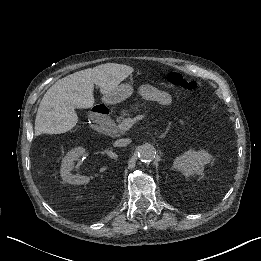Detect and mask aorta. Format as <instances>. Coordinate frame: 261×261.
Segmentation results:
<instances>
[{
    "instance_id": "obj_1",
    "label": "aorta",
    "mask_w": 261,
    "mask_h": 261,
    "mask_svg": "<svg viewBox=\"0 0 261 261\" xmlns=\"http://www.w3.org/2000/svg\"><path fill=\"white\" fill-rule=\"evenodd\" d=\"M138 157L142 162H151L154 160L156 150L150 143H145L137 148Z\"/></svg>"
}]
</instances>
